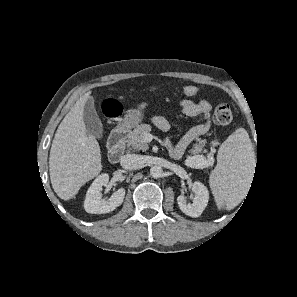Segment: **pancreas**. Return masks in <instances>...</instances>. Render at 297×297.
<instances>
[{
    "label": "pancreas",
    "instance_id": "1",
    "mask_svg": "<svg viewBox=\"0 0 297 297\" xmlns=\"http://www.w3.org/2000/svg\"><path fill=\"white\" fill-rule=\"evenodd\" d=\"M151 131V126L149 124L138 125L132 132L128 135L127 146L133 149L147 150L148 144L145 141L144 135ZM201 152V148L195 147L191 150V155L197 156Z\"/></svg>",
    "mask_w": 297,
    "mask_h": 297
}]
</instances>
